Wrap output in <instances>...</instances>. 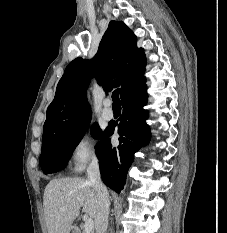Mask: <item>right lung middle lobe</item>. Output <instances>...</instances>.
I'll return each mask as SVG.
<instances>
[{"instance_id":"1","label":"right lung middle lobe","mask_w":227,"mask_h":233,"mask_svg":"<svg viewBox=\"0 0 227 233\" xmlns=\"http://www.w3.org/2000/svg\"><path fill=\"white\" fill-rule=\"evenodd\" d=\"M89 122L84 123L66 134L51 141L42 143L40 166L45 174L55 173L63 169L87 130ZM91 134L96 139H102L105 134L96 123L91 126ZM99 145V143H98ZM97 145V147H98Z\"/></svg>"}]
</instances>
